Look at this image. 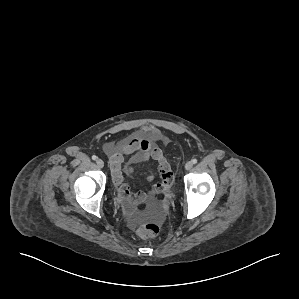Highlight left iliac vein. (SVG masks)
Returning <instances> with one entry per match:
<instances>
[{
	"label": "left iliac vein",
	"instance_id": "1",
	"mask_svg": "<svg viewBox=\"0 0 299 299\" xmlns=\"http://www.w3.org/2000/svg\"><path fill=\"white\" fill-rule=\"evenodd\" d=\"M192 167H193V162H192V161H188V162L185 164V169H186V170H190Z\"/></svg>",
	"mask_w": 299,
	"mask_h": 299
}]
</instances>
